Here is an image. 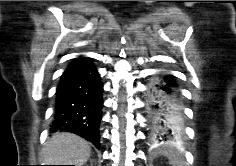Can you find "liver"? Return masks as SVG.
Here are the masks:
<instances>
[{
  "label": "liver",
  "mask_w": 236,
  "mask_h": 166,
  "mask_svg": "<svg viewBox=\"0 0 236 166\" xmlns=\"http://www.w3.org/2000/svg\"><path fill=\"white\" fill-rule=\"evenodd\" d=\"M87 141L72 133H56L46 142L43 150L48 165L82 166L90 157Z\"/></svg>",
  "instance_id": "1"
}]
</instances>
